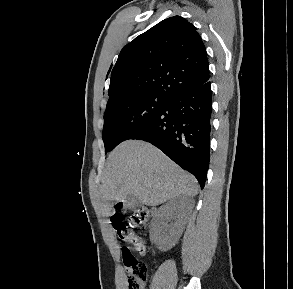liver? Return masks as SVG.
<instances>
[{"mask_svg": "<svg viewBox=\"0 0 293 289\" xmlns=\"http://www.w3.org/2000/svg\"><path fill=\"white\" fill-rule=\"evenodd\" d=\"M197 180L153 145L128 140L108 156L100 194L105 202L132 194L141 204L157 206L179 195L195 196ZM110 214L109 212L107 213Z\"/></svg>", "mask_w": 293, "mask_h": 289, "instance_id": "liver-1", "label": "liver"}]
</instances>
